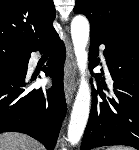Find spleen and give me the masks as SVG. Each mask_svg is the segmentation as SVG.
<instances>
[{"label":"spleen","instance_id":"spleen-1","mask_svg":"<svg viewBox=\"0 0 139 150\" xmlns=\"http://www.w3.org/2000/svg\"><path fill=\"white\" fill-rule=\"evenodd\" d=\"M107 150H133V149L128 147H122V146H114V147H109Z\"/></svg>","mask_w":139,"mask_h":150}]
</instances>
